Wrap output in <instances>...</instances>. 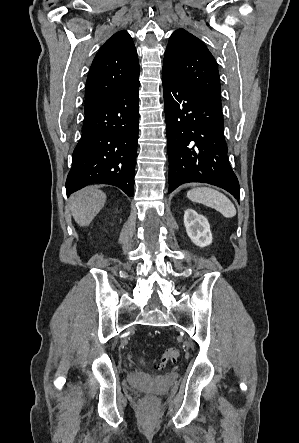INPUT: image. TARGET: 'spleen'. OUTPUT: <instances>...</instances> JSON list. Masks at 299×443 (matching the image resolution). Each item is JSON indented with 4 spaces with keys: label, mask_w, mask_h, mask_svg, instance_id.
Wrapping results in <instances>:
<instances>
[{
    "label": "spleen",
    "mask_w": 299,
    "mask_h": 443,
    "mask_svg": "<svg viewBox=\"0 0 299 443\" xmlns=\"http://www.w3.org/2000/svg\"><path fill=\"white\" fill-rule=\"evenodd\" d=\"M187 197L193 202L214 208L226 218H232L237 213L234 204L228 197L209 187L193 188L187 192Z\"/></svg>",
    "instance_id": "1"
}]
</instances>
